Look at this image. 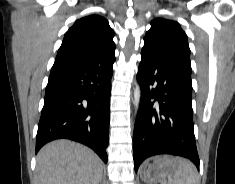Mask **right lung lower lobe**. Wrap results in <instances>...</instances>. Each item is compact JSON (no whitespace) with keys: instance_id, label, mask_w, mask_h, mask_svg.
Returning <instances> with one entry per match:
<instances>
[{"instance_id":"98d812e1","label":"right lung lower lobe","mask_w":235,"mask_h":184,"mask_svg":"<svg viewBox=\"0 0 235 184\" xmlns=\"http://www.w3.org/2000/svg\"><path fill=\"white\" fill-rule=\"evenodd\" d=\"M114 61L53 65L38 125L36 153L46 143L66 138L87 145L107 162Z\"/></svg>"}]
</instances>
